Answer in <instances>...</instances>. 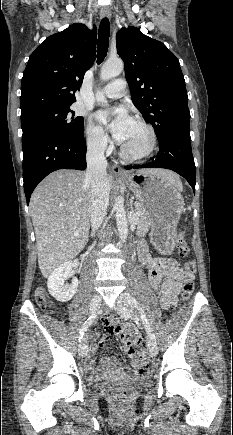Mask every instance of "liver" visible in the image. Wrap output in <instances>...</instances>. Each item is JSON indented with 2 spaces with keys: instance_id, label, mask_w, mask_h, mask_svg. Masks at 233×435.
Masks as SVG:
<instances>
[{
  "instance_id": "obj_1",
  "label": "liver",
  "mask_w": 233,
  "mask_h": 435,
  "mask_svg": "<svg viewBox=\"0 0 233 435\" xmlns=\"http://www.w3.org/2000/svg\"><path fill=\"white\" fill-rule=\"evenodd\" d=\"M140 173L157 174L182 188L177 174L151 168ZM85 172L57 170L49 174L34 190L30 213L36 235L38 264L43 277L76 257L85 247L91 217L90 182ZM109 186L112 176H107ZM78 232L79 236H74Z\"/></svg>"
}]
</instances>
